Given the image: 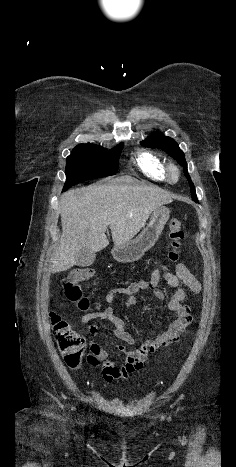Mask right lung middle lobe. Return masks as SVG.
I'll use <instances>...</instances> for the list:
<instances>
[{"label": "right lung middle lobe", "instance_id": "dd1d6c3e", "mask_svg": "<svg viewBox=\"0 0 236 467\" xmlns=\"http://www.w3.org/2000/svg\"><path fill=\"white\" fill-rule=\"evenodd\" d=\"M124 144L105 150L95 144L76 146L66 160L64 191L89 179L111 176L117 173L118 160Z\"/></svg>", "mask_w": 236, "mask_h": 467}]
</instances>
